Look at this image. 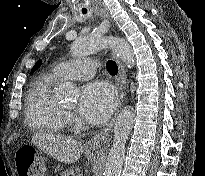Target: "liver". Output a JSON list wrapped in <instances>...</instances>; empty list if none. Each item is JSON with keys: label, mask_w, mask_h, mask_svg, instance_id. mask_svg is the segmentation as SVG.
<instances>
[{"label": "liver", "mask_w": 205, "mask_h": 176, "mask_svg": "<svg viewBox=\"0 0 205 176\" xmlns=\"http://www.w3.org/2000/svg\"><path fill=\"white\" fill-rule=\"evenodd\" d=\"M32 142L46 154L58 161L71 164L75 163L83 152L79 141L53 134H35Z\"/></svg>", "instance_id": "obj_1"}]
</instances>
